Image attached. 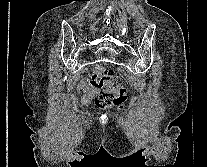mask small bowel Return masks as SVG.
I'll return each instance as SVG.
<instances>
[{
	"instance_id": "1",
	"label": "small bowel",
	"mask_w": 207,
	"mask_h": 167,
	"mask_svg": "<svg viewBox=\"0 0 207 167\" xmlns=\"http://www.w3.org/2000/svg\"><path fill=\"white\" fill-rule=\"evenodd\" d=\"M80 90L84 91V95L81 100L84 104L88 103L96 93V89L89 83L88 80H82L80 82L76 90L77 93H79Z\"/></svg>"
}]
</instances>
